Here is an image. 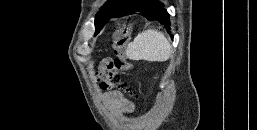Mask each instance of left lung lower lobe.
<instances>
[{"label":"left lung lower lobe","mask_w":257,"mask_h":130,"mask_svg":"<svg viewBox=\"0 0 257 130\" xmlns=\"http://www.w3.org/2000/svg\"><path fill=\"white\" fill-rule=\"evenodd\" d=\"M139 12L147 20H156L167 26L170 29V16L166 9L162 8L158 0H129L125 5L116 8L108 17H121ZM107 19V20H108ZM101 29L96 30L97 34Z\"/></svg>","instance_id":"0a47b994"}]
</instances>
